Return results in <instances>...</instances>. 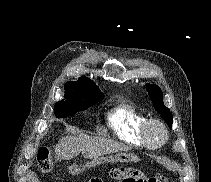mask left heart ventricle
<instances>
[{
	"label": "left heart ventricle",
	"instance_id": "1",
	"mask_svg": "<svg viewBox=\"0 0 211 182\" xmlns=\"http://www.w3.org/2000/svg\"><path fill=\"white\" fill-rule=\"evenodd\" d=\"M148 135L153 142H158V141L162 140V138H163V132L157 126L151 127L148 132Z\"/></svg>",
	"mask_w": 211,
	"mask_h": 182
}]
</instances>
